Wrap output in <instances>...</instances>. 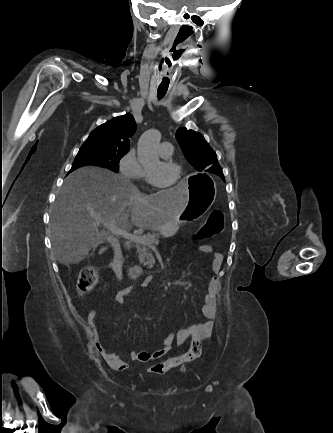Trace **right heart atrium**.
<instances>
[{
	"label": "right heart atrium",
	"instance_id": "1",
	"mask_svg": "<svg viewBox=\"0 0 333 433\" xmlns=\"http://www.w3.org/2000/svg\"><path fill=\"white\" fill-rule=\"evenodd\" d=\"M118 167L120 173L126 178L139 180L145 176V170L139 163L135 152L132 149L122 155Z\"/></svg>",
	"mask_w": 333,
	"mask_h": 433
}]
</instances>
